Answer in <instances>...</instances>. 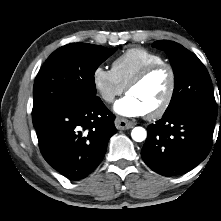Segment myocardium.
Returning <instances> with one entry per match:
<instances>
[{
	"instance_id": "1",
	"label": "myocardium",
	"mask_w": 221,
	"mask_h": 221,
	"mask_svg": "<svg viewBox=\"0 0 221 221\" xmlns=\"http://www.w3.org/2000/svg\"><path fill=\"white\" fill-rule=\"evenodd\" d=\"M165 68L168 70L170 75V83L169 88L166 93L165 98L161 102V104L155 108L154 110L146 113L148 118L154 119L161 117L169 108L171 105V102L173 100L175 90H176V84H177V77L176 72L173 68V66L166 62H160V63H154L151 65L146 66L141 71H139L127 84L126 86V92H129L132 88L136 87L137 85L141 84L146 78H148L153 72H155L158 69Z\"/></svg>"
}]
</instances>
